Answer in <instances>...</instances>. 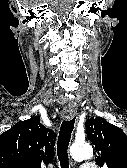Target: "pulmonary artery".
<instances>
[{
	"label": "pulmonary artery",
	"mask_w": 127,
	"mask_h": 168,
	"mask_svg": "<svg viewBox=\"0 0 127 168\" xmlns=\"http://www.w3.org/2000/svg\"><path fill=\"white\" fill-rule=\"evenodd\" d=\"M80 168H96V166L92 163H83Z\"/></svg>",
	"instance_id": "1"
}]
</instances>
